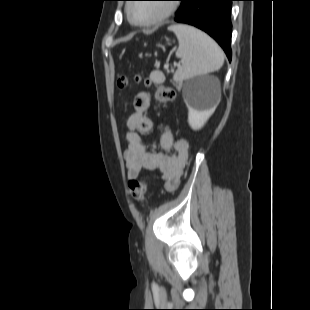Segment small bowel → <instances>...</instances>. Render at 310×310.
<instances>
[{
    "mask_svg": "<svg viewBox=\"0 0 310 310\" xmlns=\"http://www.w3.org/2000/svg\"><path fill=\"white\" fill-rule=\"evenodd\" d=\"M151 94L141 91L134 98V111L128 116L125 135L127 149L124 160L129 181L139 178L142 170L157 171L153 179L164 181L168 192L174 191L183 175L188 158V141L175 140L172 131L164 127L157 142L162 152L150 150L142 135L153 129V121L147 116Z\"/></svg>",
    "mask_w": 310,
    "mask_h": 310,
    "instance_id": "c3829d8e",
    "label": "small bowel"
}]
</instances>
